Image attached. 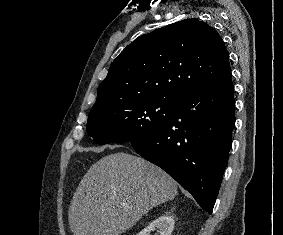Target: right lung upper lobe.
I'll return each mask as SVG.
<instances>
[{
	"label": "right lung upper lobe",
	"instance_id": "cb5924a9",
	"mask_svg": "<svg viewBox=\"0 0 283 235\" xmlns=\"http://www.w3.org/2000/svg\"><path fill=\"white\" fill-rule=\"evenodd\" d=\"M230 76L229 54L217 31L185 19L128 45L111 63L94 106L133 97L177 99Z\"/></svg>",
	"mask_w": 283,
	"mask_h": 235
}]
</instances>
